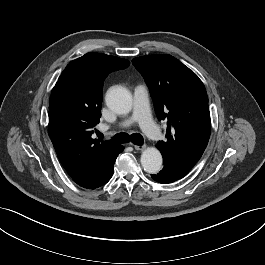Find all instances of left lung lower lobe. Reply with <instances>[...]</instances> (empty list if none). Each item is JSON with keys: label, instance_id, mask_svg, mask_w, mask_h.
<instances>
[{"label": "left lung lower lobe", "instance_id": "0a47b994", "mask_svg": "<svg viewBox=\"0 0 265 265\" xmlns=\"http://www.w3.org/2000/svg\"><path fill=\"white\" fill-rule=\"evenodd\" d=\"M152 178L162 184H168L174 181H177L178 178L171 175L168 171L166 170H161L158 174L151 175Z\"/></svg>", "mask_w": 265, "mask_h": 265}]
</instances>
